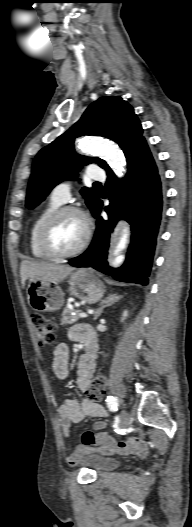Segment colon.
<instances>
[{
  "label": "colon",
  "instance_id": "5ec220e1",
  "mask_svg": "<svg viewBox=\"0 0 192 527\" xmlns=\"http://www.w3.org/2000/svg\"><path fill=\"white\" fill-rule=\"evenodd\" d=\"M32 324L36 338L42 346H53L56 341L57 325L41 315H35L32 318ZM105 380L102 376L94 378L89 397L98 401L103 393Z\"/></svg>",
  "mask_w": 192,
  "mask_h": 527
}]
</instances>
